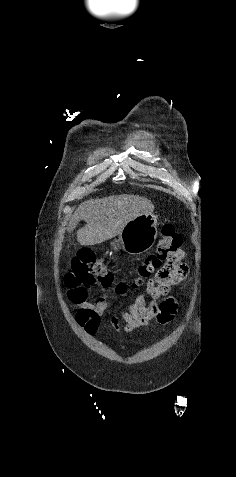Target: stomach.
Here are the masks:
<instances>
[{"instance_id":"1","label":"stomach","mask_w":236,"mask_h":477,"mask_svg":"<svg viewBox=\"0 0 236 477\" xmlns=\"http://www.w3.org/2000/svg\"><path fill=\"white\" fill-rule=\"evenodd\" d=\"M157 235V216L143 214L129 221L110 247L115 251L123 249L131 255H140L154 245Z\"/></svg>"}]
</instances>
